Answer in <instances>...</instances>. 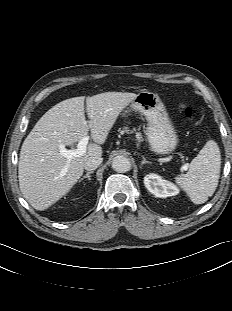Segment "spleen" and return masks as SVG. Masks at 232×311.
Masks as SVG:
<instances>
[{"label":"spleen","mask_w":232,"mask_h":311,"mask_svg":"<svg viewBox=\"0 0 232 311\" xmlns=\"http://www.w3.org/2000/svg\"><path fill=\"white\" fill-rule=\"evenodd\" d=\"M220 168L219 147L215 141L209 140L191 161L188 172L176 177V183L194 204H203L216 190Z\"/></svg>","instance_id":"1"}]
</instances>
